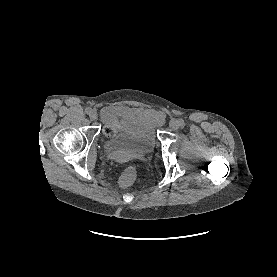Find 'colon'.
Listing matches in <instances>:
<instances>
[{
	"label": "colon",
	"mask_w": 277,
	"mask_h": 277,
	"mask_svg": "<svg viewBox=\"0 0 277 277\" xmlns=\"http://www.w3.org/2000/svg\"><path fill=\"white\" fill-rule=\"evenodd\" d=\"M113 132V128L107 127L105 129V133L109 134ZM136 179V169L133 166L127 167L119 177L118 184L121 187H129L131 186Z\"/></svg>",
	"instance_id": "1"
}]
</instances>
